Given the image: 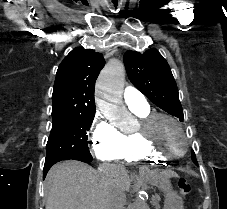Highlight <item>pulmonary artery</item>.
<instances>
[{"label":"pulmonary artery","instance_id":"pulmonary-artery-1","mask_svg":"<svg viewBox=\"0 0 227 209\" xmlns=\"http://www.w3.org/2000/svg\"><path fill=\"white\" fill-rule=\"evenodd\" d=\"M124 101L133 108L144 109L148 107L146 95H141L140 88H125Z\"/></svg>","mask_w":227,"mask_h":209}]
</instances>
